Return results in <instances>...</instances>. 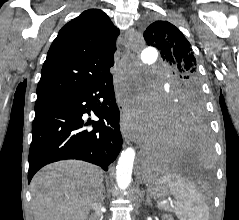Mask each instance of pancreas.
Returning <instances> with one entry per match:
<instances>
[{
    "instance_id": "pancreas-1",
    "label": "pancreas",
    "mask_w": 239,
    "mask_h": 220,
    "mask_svg": "<svg viewBox=\"0 0 239 220\" xmlns=\"http://www.w3.org/2000/svg\"><path fill=\"white\" fill-rule=\"evenodd\" d=\"M163 218H164V219H168V220H173V219H172V216H171V215H167V214H165V215L163 216Z\"/></svg>"
}]
</instances>
